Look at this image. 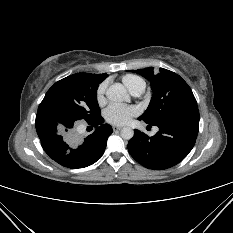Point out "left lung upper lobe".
Here are the masks:
<instances>
[{
	"label": "left lung upper lobe",
	"mask_w": 233,
	"mask_h": 233,
	"mask_svg": "<svg viewBox=\"0 0 233 233\" xmlns=\"http://www.w3.org/2000/svg\"><path fill=\"white\" fill-rule=\"evenodd\" d=\"M150 80L153 96L147 110L141 118L146 123L155 125L178 113L184 108L196 105V99L188 84L176 73L153 67L131 70Z\"/></svg>",
	"instance_id": "obj_1"
}]
</instances>
